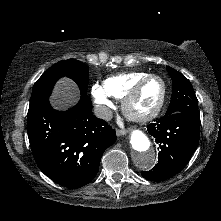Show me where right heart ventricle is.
Segmentation results:
<instances>
[{"mask_svg":"<svg viewBox=\"0 0 221 221\" xmlns=\"http://www.w3.org/2000/svg\"><path fill=\"white\" fill-rule=\"evenodd\" d=\"M147 75L146 72H129L110 76L104 80L103 88L108 95L123 99L132 87Z\"/></svg>","mask_w":221,"mask_h":221,"instance_id":"right-heart-ventricle-1","label":"right heart ventricle"}]
</instances>
